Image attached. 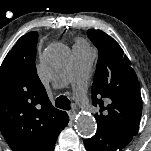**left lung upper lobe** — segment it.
<instances>
[{
    "label": "left lung upper lobe",
    "instance_id": "obj_1",
    "mask_svg": "<svg viewBox=\"0 0 151 151\" xmlns=\"http://www.w3.org/2000/svg\"><path fill=\"white\" fill-rule=\"evenodd\" d=\"M88 37L99 52L91 89L92 102L99 106L95 119L99 128L135 136L142 113L136 73L119 44L101 30L90 29Z\"/></svg>",
    "mask_w": 151,
    "mask_h": 151
}]
</instances>
